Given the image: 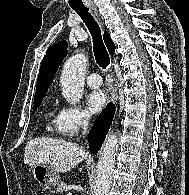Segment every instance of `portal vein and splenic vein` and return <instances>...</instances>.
I'll list each match as a JSON object with an SVG mask.
<instances>
[{"instance_id":"1","label":"portal vein and splenic vein","mask_w":189,"mask_h":195,"mask_svg":"<svg viewBox=\"0 0 189 195\" xmlns=\"http://www.w3.org/2000/svg\"><path fill=\"white\" fill-rule=\"evenodd\" d=\"M67 195H72V193L69 192Z\"/></svg>"}]
</instances>
